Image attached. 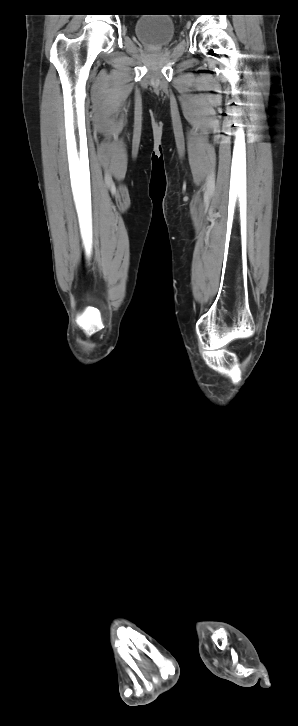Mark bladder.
<instances>
[{"instance_id": "31cf9c89", "label": "bladder", "mask_w": 298, "mask_h": 726, "mask_svg": "<svg viewBox=\"0 0 298 726\" xmlns=\"http://www.w3.org/2000/svg\"><path fill=\"white\" fill-rule=\"evenodd\" d=\"M165 14H143L135 21L133 30L136 37L151 48H161L172 42L175 37L173 21Z\"/></svg>"}]
</instances>
